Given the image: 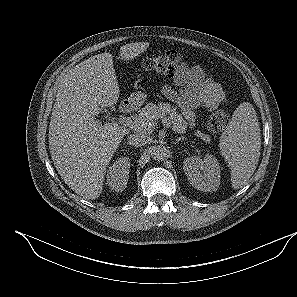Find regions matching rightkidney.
I'll return each instance as SVG.
<instances>
[{"label":"right kidney","mask_w":297,"mask_h":297,"mask_svg":"<svg viewBox=\"0 0 297 297\" xmlns=\"http://www.w3.org/2000/svg\"><path fill=\"white\" fill-rule=\"evenodd\" d=\"M130 159L118 158L110 167L107 174V184L114 191H123L129 179Z\"/></svg>","instance_id":"right-kidney-1"}]
</instances>
